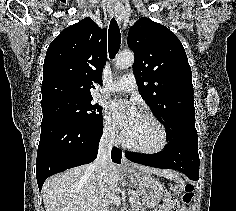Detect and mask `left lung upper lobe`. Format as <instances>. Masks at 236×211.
Listing matches in <instances>:
<instances>
[{
  "mask_svg": "<svg viewBox=\"0 0 236 211\" xmlns=\"http://www.w3.org/2000/svg\"><path fill=\"white\" fill-rule=\"evenodd\" d=\"M133 72L140 92L171 141H198L191 67L180 40L146 17L129 30Z\"/></svg>",
  "mask_w": 236,
  "mask_h": 211,
  "instance_id": "5c2ea615",
  "label": "left lung upper lobe"
}]
</instances>
